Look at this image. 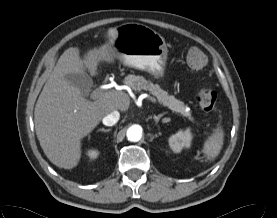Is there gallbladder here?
I'll use <instances>...</instances> for the list:
<instances>
[{
	"mask_svg": "<svg viewBox=\"0 0 277 218\" xmlns=\"http://www.w3.org/2000/svg\"><path fill=\"white\" fill-rule=\"evenodd\" d=\"M65 78L70 84L76 86L84 94L93 84L91 77L86 73H69L65 75Z\"/></svg>",
	"mask_w": 277,
	"mask_h": 218,
	"instance_id": "bac80fb5",
	"label": "gallbladder"
}]
</instances>
